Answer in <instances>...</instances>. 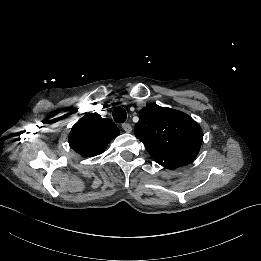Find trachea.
I'll use <instances>...</instances> for the list:
<instances>
[{"label": "trachea", "mask_w": 261, "mask_h": 261, "mask_svg": "<svg viewBox=\"0 0 261 261\" xmlns=\"http://www.w3.org/2000/svg\"><path fill=\"white\" fill-rule=\"evenodd\" d=\"M127 114L124 108L122 107H116L113 110V119L117 123H124L126 121Z\"/></svg>", "instance_id": "3493384b"}]
</instances>
